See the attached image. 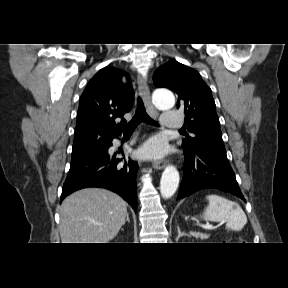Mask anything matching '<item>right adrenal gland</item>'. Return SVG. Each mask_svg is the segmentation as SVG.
<instances>
[{"label":"right adrenal gland","mask_w":288,"mask_h":288,"mask_svg":"<svg viewBox=\"0 0 288 288\" xmlns=\"http://www.w3.org/2000/svg\"><path fill=\"white\" fill-rule=\"evenodd\" d=\"M126 220H127V222H130V220H129V214H127Z\"/></svg>","instance_id":"obj_1"}]
</instances>
